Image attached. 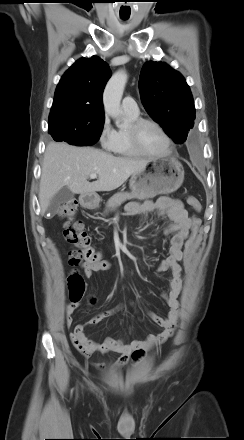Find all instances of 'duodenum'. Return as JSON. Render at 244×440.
I'll use <instances>...</instances> for the list:
<instances>
[{
	"instance_id": "1",
	"label": "duodenum",
	"mask_w": 244,
	"mask_h": 440,
	"mask_svg": "<svg viewBox=\"0 0 244 440\" xmlns=\"http://www.w3.org/2000/svg\"><path fill=\"white\" fill-rule=\"evenodd\" d=\"M92 198L91 197H88V196H85V197H83L82 198V201H83V203L85 204V205H90L91 204V202H92Z\"/></svg>"
}]
</instances>
